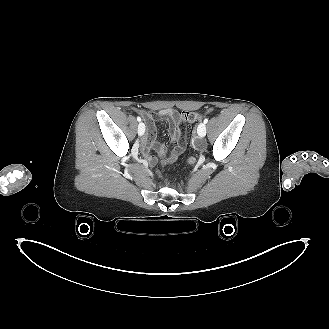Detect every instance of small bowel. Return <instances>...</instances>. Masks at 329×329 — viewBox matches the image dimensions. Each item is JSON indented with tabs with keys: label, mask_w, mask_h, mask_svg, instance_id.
Segmentation results:
<instances>
[{
	"label": "small bowel",
	"mask_w": 329,
	"mask_h": 329,
	"mask_svg": "<svg viewBox=\"0 0 329 329\" xmlns=\"http://www.w3.org/2000/svg\"><path fill=\"white\" fill-rule=\"evenodd\" d=\"M137 113L140 114L147 123L146 134L142 137L146 159L151 163L156 162V158L150 153L151 149H155L160 155L162 162L168 163L176 160L185 147L182 119L179 111L173 108H165L158 111V115L166 119L169 123V132L174 142V149L170 154H167L166 148L157 142V130L154 124L153 114L144 109H137Z\"/></svg>",
	"instance_id": "1"
}]
</instances>
